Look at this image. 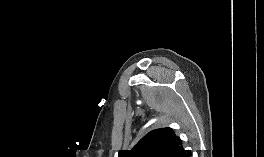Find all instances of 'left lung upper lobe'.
I'll return each mask as SVG.
<instances>
[{"instance_id":"1","label":"left lung upper lobe","mask_w":264,"mask_h":157,"mask_svg":"<svg viewBox=\"0 0 264 157\" xmlns=\"http://www.w3.org/2000/svg\"><path fill=\"white\" fill-rule=\"evenodd\" d=\"M181 139L171 128L149 132L131 150H120L118 157H190Z\"/></svg>"}]
</instances>
